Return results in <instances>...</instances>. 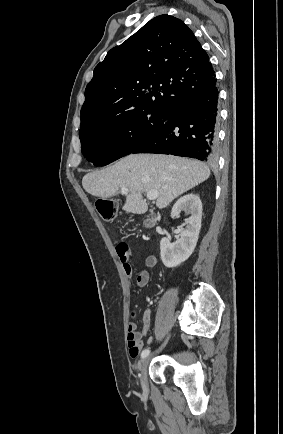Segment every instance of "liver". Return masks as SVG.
<instances>
[{
  "label": "liver",
  "instance_id": "6515ba94",
  "mask_svg": "<svg viewBox=\"0 0 283 434\" xmlns=\"http://www.w3.org/2000/svg\"><path fill=\"white\" fill-rule=\"evenodd\" d=\"M209 176L207 165L196 160L171 155L130 154L110 167L87 173L82 186L99 198L113 197L124 186L127 192L123 210L143 214L148 210L143 193L156 190V206L163 209Z\"/></svg>",
  "mask_w": 283,
  "mask_h": 434
}]
</instances>
